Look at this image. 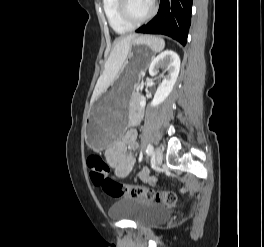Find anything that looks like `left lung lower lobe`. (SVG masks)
Here are the masks:
<instances>
[{
	"label": "left lung lower lobe",
	"mask_w": 264,
	"mask_h": 247,
	"mask_svg": "<svg viewBox=\"0 0 264 247\" xmlns=\"http://www.w3.org/2000/svg\"><path fill=\"white\" fill-rule=\"evenodd\" d=\"M191 10L192 0H160L157 15L136 32L167 35L184 46L191 25Z\"/></svg>",
	"instance_id": "1"
}]
</instances>
